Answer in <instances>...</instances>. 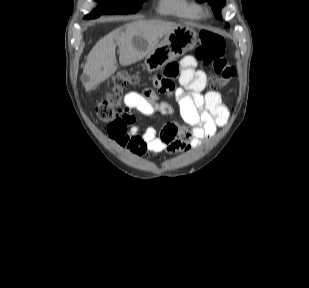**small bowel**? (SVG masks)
<instances>
[{"mask_svg": "<svg viewBox=\"0 0 309 288\" xmlns=\"http://www.w3.org/2000/svg\"><path fill=\"white\" fill-rule=\"evenodd\" d=\"M174 78H178L179 87L175 88ZM161 82L169 84L168 90L173 93L186 125L171 122L160 131L146 128L140 132L133 124L110 123V139L137 156L196 149L205 140L212 138L217 129L226 124L229 117V110L218 92H202L206 86V75L197 69V62L192 56H185L179 63L168 66L164 77L156 79L157 85ZM124 103L129 109L147 116H168L173 113V107L167 102H159L157 94L150 88L142 92L127 93Z\"/></svg>", "mask_w": 309, "mask_h": 288, "instance_id": "small-bowel-1", "label": "small bowel"}]
</instances>
